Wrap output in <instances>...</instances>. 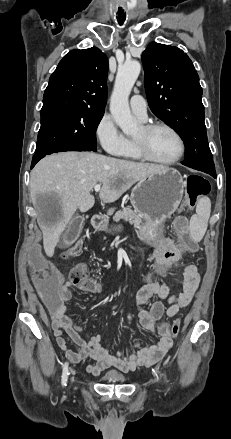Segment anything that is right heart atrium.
<instances>
[{
	"label": "right heart atrium",
	"mask_w": 231,
	"mask_h": 439,
	"mask_svg": "<svg viewBox=\"0 0 231 439\" xmlns=\"http://www.w3.org/2000/svg\"><path fill=\"white\" fill-rule=\"evenodd\" d=\"M95 136L103 150L113 156H120L126 150L127 139L120 132L113 117L104 114L95 127Z\"/></svg>",
	"instance_id": "d8ad5b80"
}]
</instances>
